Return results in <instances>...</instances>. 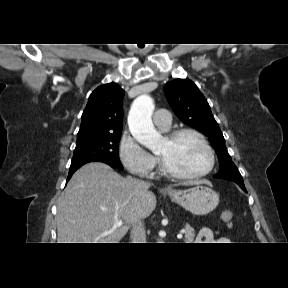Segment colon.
I'll list each match as a JSON object with an SVG mask.
<instances>
[{
	"label": "colon",
	"mask_w": 288,
	"mask_h": 288,
	"mask_svg": "<svg viewBox=\"0 0 288 288\" xmlns=\"http://www.w3.org/2000/svg\"><path fill=\"white\" fill-rule=\"evenodd\" d=\"M220 219L226 224L228 228L232 227L233 212L231 210L224 209L220 212Z\"/></svg>",
	"instance_id": "obj_1"
}]
</instances>
